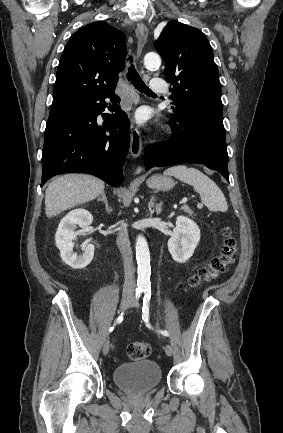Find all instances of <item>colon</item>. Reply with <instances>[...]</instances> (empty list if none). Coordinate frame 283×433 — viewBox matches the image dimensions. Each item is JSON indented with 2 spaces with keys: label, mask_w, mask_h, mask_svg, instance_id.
Segmentation results:
<instances>
[{
  "label": "colon",
  "mask_w": 283,
  "mask_h": 433,
  "mask_svg": "<svg viewBox=\"0 0 283 433\" xmlns=\"http://www.w3.org/2000/svg\"><path fill=\"white\" fill-rule=\"evenodd\" d=\"M222 235L223 241L219 253L191 276L188 282L189 287L196 288L205 282L215 279L225 273L234 262L238 252L237 241L231 229L228 227L223 229ZM150 353L151 346L144 341H134L129 343L126 347V355L132 360L144 359L148 357Z\"/></svg>",
  "instance_id": "obj_1"
}]
</instances>
